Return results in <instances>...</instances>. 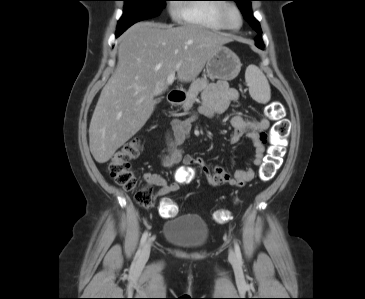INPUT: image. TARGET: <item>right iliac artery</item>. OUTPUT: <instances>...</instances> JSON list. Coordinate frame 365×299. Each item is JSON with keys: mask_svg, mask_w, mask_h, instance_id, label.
<instances>
[{"mask_svg": "<svg viewBox=\"0 0 365 299\" xmlns=\"http://www.w3.org/2000/svg\"><path fill=\"white\" fill-rule=\"evenodd\" d=\"M147 237H148V231H145V232L143 233L142 238H141V241H140V248H139V250H138V252H137V254H138V255H140V254H141V252H142V248H143V246H144V244H145V242H146V240H147Z\"/></svg>", "mask_w": 365, "mask_h": 299, "instance_id": "82829eb1", "label": "right iliac artery"}]
</instances>
